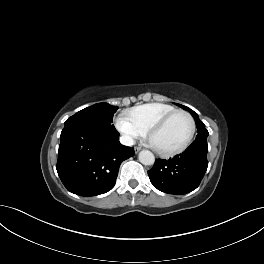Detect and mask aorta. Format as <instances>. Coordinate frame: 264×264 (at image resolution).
Wrapping results in <instances>:
<instances>
[{"label":"aorta","instance_id":"aorta-1","mask_svg":"<svg viewBox=\"0 0 264 264\" xmlns=\"http://www.w3.org/2000/svg\"><path fill=\"white\" fill-rule=\"evenodd\" d=\"M139 161L146 166L153 165L155 162L154 154L149 150H142L138 156Z\"/></svg>","mask_w":264,"mask_h":264}]
</instances>
